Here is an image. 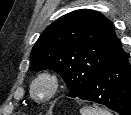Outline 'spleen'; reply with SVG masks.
Returning <instances> with one entry per match:
<instances>
[{
	"label": "spleen",
	"mask_w": 131,
	"mask_h": 115,
	"mask_svg": "<svg viewBox=\"0 0 131 115\" xmlns=\"http://www.w3.org/2000/svg\"><path fill=\"white\" fill-rule=\"evenodd\" d=\"M81 115H112L110 112L100 108H81L80 109Z\"/></svg>",
	"instance_id": "spleen-1"
}]
</instances>
